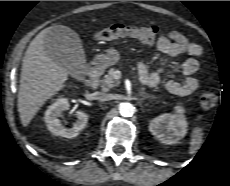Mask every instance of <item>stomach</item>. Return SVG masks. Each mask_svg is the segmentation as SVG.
<instances>
[{
	"label": "stomach",
	"mask_w": 230,
	"mask_h": 186,
	"mask_svg": "<svg viewBox=\"0 0 230 186\" xmlns=\"http://www.w3.org/2000/svg\"><path fill=\"white\" fill-rule=\"evenodd\" d=\"M119 59V52L114 48L107 50L106 54L99 55L96 58L97 62L104 67H109L116 64Z\"/></svg>",
	"instance_id": "stomach-1"
}]
</instances>
